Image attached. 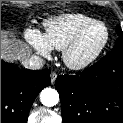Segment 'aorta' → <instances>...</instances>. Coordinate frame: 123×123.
<instances>
[{
  "mask_svg": "<svg viewBox=\"0 0 123 123\" xmlns=\"http://www.w3.org/2000/svg\"><path fill=\"white\" fill-rule=\"evenodd\" d=\"M41 103L48 107H53L59 102V94L55 89L45 88L40 93Z\"/></svg>",
  "mask_w": 123,
  "mask_h": 123,
  "instance_id": "obj_1",
  "label": "aorta"
}]
</instances>
